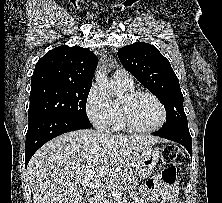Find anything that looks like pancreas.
I'll return each instance as SVG.
<instances>
[{
  "instance_id": "1",
  "label": "pancreas",
  "mask_w": 222,
  "mask_h": 203,
  "mask_svg": "<svg viewBox=\"0 0 222 203\" xmlns=\"http://www.w3.org/2000/svg\"><path fill=\"white\" fill-rule=\"evenodd\" d=\"M110 184H114L117 187L105 189L104 195L100 198V203H115L114 193L121 192L124 189V186H130L134 184V179L132 175H126L124 177L118 178L115 181H112Z\"/></svg>"
}]
</instances>
